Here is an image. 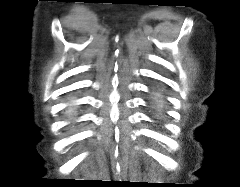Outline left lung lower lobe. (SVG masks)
Masks as SVG:
<instances>
[{"mask_svg":"<svg viewBox=\"0 0 240 187\" xmlns=\"http://www.w3.org/2000/svg\"><path fill=\"white\" fill-rule=\"evenodd\" d=\"M151 107L156 113H160L163 109L162 95L160 92L152 94Z\"/></svg>","mask_w":240,"mask_h":187,"instance_id":"left-lung-lower-lobe-1","label":"left lung lower lobe"}]
</instances>
